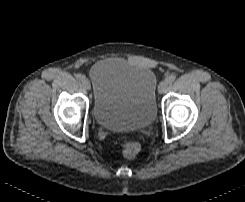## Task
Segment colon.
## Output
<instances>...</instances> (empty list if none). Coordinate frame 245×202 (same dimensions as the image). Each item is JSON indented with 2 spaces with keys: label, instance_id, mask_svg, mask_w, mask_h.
Instances as JSON below:
<instances>
[{
  "label": "colon",
  "instance_id": "5ec220e1",
  "mask_svg": "<svg viewBox=\"0 0 245 202\" xmlns=\"http://www.w3.org/2000/svg\"><path fill=\"white\" fill-rule=\"evenodd\" d=\"M140 144L137 141L129 140L122 144L121 150L126 158H134L140 152Z\"/></svg>",
  "mask_w": 245,
  "mask_h": 202
}]
</instances>
